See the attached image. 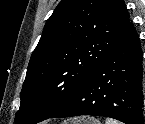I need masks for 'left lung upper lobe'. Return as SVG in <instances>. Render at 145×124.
Here are the masks:
<instances>
[{
    "instance_id": "1",
    "label": "left lung upper lobe",
    "mask_w": 145,
    "mask_h": 124,
    "mask_svg": "<svg viewBox=\"0 0 145 124\" xmlns=\"http://www.w3.org/2000/svg\"><path fill=\"white\" fill-rule=\"evenodd\" d=\"M130 24L124 0H62L29 61L16 124H36L67 104Z\"/></svg>"
}]
</instances>
